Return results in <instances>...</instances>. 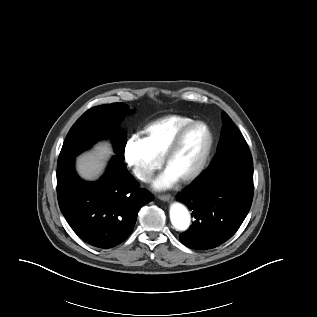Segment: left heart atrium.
Wrapping results in <instances>:
<instances>
[{
  "instance_id": "39dd6f15",
  "label": "left heart atrium",
  "mask_w": 317,
  "mask_h": 317,
  "mask_svg": "<svg viewBox=\"0 0 317 317\" xmlns=\"http://www.w3.org/2000/svg\"><path fill=\"white\" fill-rule=\"evenodd\" d=\"M177 180L178 177L169 169H167L161 176L157 178V180L154 183V186L157 189H164L170 187Z\"/></svg>"
}]
</instances>
